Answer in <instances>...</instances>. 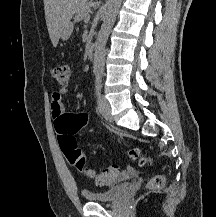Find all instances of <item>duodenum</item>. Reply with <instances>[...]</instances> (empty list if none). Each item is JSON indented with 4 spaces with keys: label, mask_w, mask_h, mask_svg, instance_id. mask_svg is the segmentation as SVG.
<instances>
[{
    "label": "duodenum",
    "mask_w": 216,
    "mask_h": 217,
    "mask_svg": "<svg viewBox=\"0 0 216 217\" xmlns=\"http://www.w3.org/2000/svg\"><path fill=\"white\" fill-rule=\"evenodd\" d=\"M95 50H96L95 43L94 42L90 43L88 46V56L91 60H94L95 58Z\"/></svg>",
    "instance_id": "duodenum-1"
}]
</instances>
